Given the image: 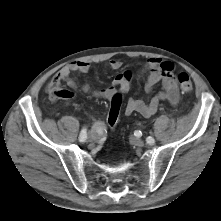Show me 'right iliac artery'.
<instances>
[{
  "instance_id": "obj_1",
  "label": "right iliac artery",
  "mask_w": 221,
  "mask_h": 221,
  "mask_svg": "<svg viewBox=\"0 0 221 221\" xmlns=\"http://www.w3.org/2000/svg\"><path fill=\"white\" fill-rule=\"evenodd\" d=\"M87 139V130L86 128H83L81 133H80V136H79V141L80 142H85Z\"/></svg>"
}]
</instances>
